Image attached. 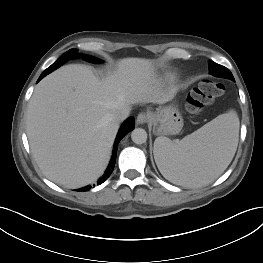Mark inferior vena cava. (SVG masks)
I'll list each match as a JSON object with an SVG mask.
<instances>
[{
  "label": "inferior vena cava",
  "instance_id": "1",
  "mask_svg": "<svg viewBox=\"0 0 263 263\" xmlns=\"http://www.w3.org/2000/svg\"><path fill=\"white\" fill-rule=\"evenodd\" d=\"M129 115V110L128 109H121V110H117L116 112H114L112 114V118L117 121H123L125 120Z\"/></svg>",
  "mask_w": 263,
  "mask_h": 263
}]
</instances>
